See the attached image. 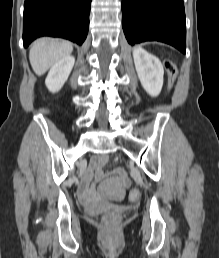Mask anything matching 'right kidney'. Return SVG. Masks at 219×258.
Wrapping results in <instances>:
<instances>
[{
  "instance_id": "right-kidney-1",
  "label": "right kidney",
  "mask_w": 219,
  "mask_h": 258,
  "mask_svg": "<svg viewBox=\"0 0 219 258\" xmlns=\"http://www.w3.org/2000/svg\"><path fill=\"white\" fill-rule=\"evenodd\" d=\"M74 63L75 58L69 55L59 60L51 67L45 80L49 91L55 93L62 88L71 73Z\"/></svg>"
}]
</instances>
